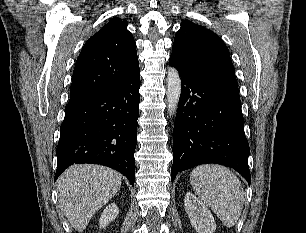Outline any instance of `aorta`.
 Returning <instances> with one entry per match:
<instances>
[{"label": "aorta", "instance_id": "obj_1", "mask_svg": "<svg viewBox=\"0 0 306 233\" xmlns=\"http://www.w3.org/2000/svg\"><path fill=\"white\" fill-rule=\"evenodd\" d=\"M181 95V79L178 71L171 67L167 73V103L169 114H174L177 110Z\"/></svg>", "mask_w": 306, "mask_h": 233}]
</instances>
